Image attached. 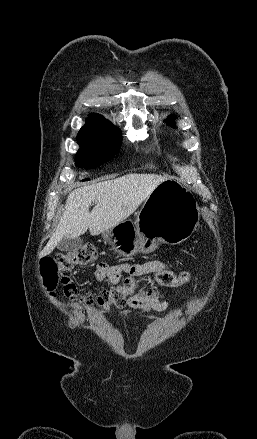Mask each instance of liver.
I'll return each instance as SVG.
<instances>
[{"mask_svg": "<svg viewBox=\"0 0 257 439\" xmlns=\"http://www.w3.org/2000/svg\"><path fill=\"white\" fill-rule=\"evenodd\" d=\"M165 180L156 174L131 173L72 191L40 257L49 255L63 238H78L88 228L90 234L96 236L126 220ZM92 202L95 207L89 212Z\"/></svg>", "mask_w": 257, "mask_h": 439, "instance_id": "6515ba94", "label": "liver"}]
</instances>
